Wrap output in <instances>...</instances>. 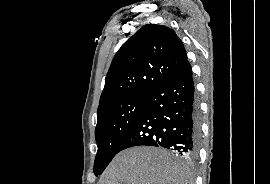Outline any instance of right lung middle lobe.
I'll return each mask as SVG.
<instances>
[{
	"instance_id": "obj_1",
	"label": "right lung middle lobe",
	"mask_w": 270,
	"mask_h": 184,
	"mask_svg": "<svg viewBox=\"0 0 270 184\" xmlns=\"http://www.w3.org/2000/svg\"><path fill=\"white\" fill-rule=\"evenodd\" d=\"M147 96H132L103 107L97 118L95 137L98 151L94 162V174L100 175L127 137L142 114Z\"/></svg>"
}]
</instances>
